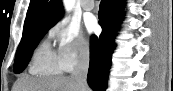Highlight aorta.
<instances>
[{
    "instance_id": "obj_1",
    "label": "aorta",
    "mask_w": 173,
    "mask_h": 91,
    "mask_svg": "<svg viewBox=\"0 0 173 91\" xmlns=\"http://www.w3.org/2000/svg\"><path fill=\"white\" fill-rule=\"evenodd\" d=\"M74 5V0H64L66 10H71Z\"/></svg>"
}]
</instances>
